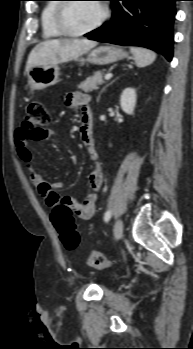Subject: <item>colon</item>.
I'll return each mask as SVG.
<instances>
[{
    "label": "colon",
    "instance_id": "5ec220e1",
    "mask_svg": "<svg viewBox=\"0 0 193 349\" xmlns=\"http://www.w3.org/2000/svg\"><path fill=\"white\" fill-rule=\"evenodd\" d=\"M52 124V115L43 102L35 101L29 104L22 123V129L33 140L47 136ZM52 222L57 229L60 240L68 250L75 249L79 244V235L74 223V213L66 202H58L52 207ZM87 264L102 270L110 262L100 253L92 251L87 256Z\"/></svg>",
    "mask_w": 193,
    "mask_h": 349
}]
</instances>
